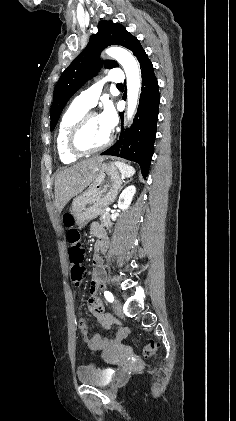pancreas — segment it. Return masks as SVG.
Wrapping results in <instances>:
<instances>
[{
    "mask_svg": "<svg viewBox=\"0 0 236 421\" xmlns=\"http://www.w3.org/2000/svg\"><path fill=\"white\" fill-rule=\"evenodd\" d=\"M100 221H101L102 227H106V229L110 231L112 227V223L110 221V215L109 213H106L105 208H103V211H101L100 213Z\"/></svg>",
    "mask_w": 236,
    "mask_h": 421,
    "instance_id": "1",
    "label": "pancreas"
}]
</instances>
